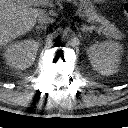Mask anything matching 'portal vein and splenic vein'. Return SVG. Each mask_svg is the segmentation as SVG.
I'll return each instance as SVG.
<instances>
[{
  "label": "portal vein and splenic vein",
  "mask_w": 128,
  "mask_h": 128,
  "mask_svg": "<svg viewBox=\"0 0 128 128\" xmlns=\"http://www.w3.org/2000/svg\"><path fill=\"white\" fill-rule=\"evenodd\" d=\"M20 2H24L25 4H27L28 6H45V7H52L53 3L50 0H18ZM68 2H72L75 5H78V3L75 0H68ZM79 16L81 17L82 15L79 14ZM88 22H90L89 20H87Z\"/></svg>",
  "instance_id": "portal-vein-and-splenic-vein-1"
}]
</instances>
